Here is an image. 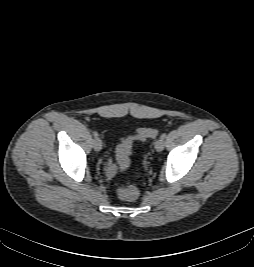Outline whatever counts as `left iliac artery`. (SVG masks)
Instances as JSON below:
<instances>
[{"label":"left iliac artery","mask_w":254,"mask_h":267,"mask_svg":"<svg viewBox=\"0 0 254 267\" xmlns=\"http://www.w3.org/2000/svg\"><path fill=\"white\" fill-rule=\"evenodd\" d=\"M167 137V134L166 133H163L162 135H161V138L162 139H165Z\"/></svg>","instance_id":"1"}]
</instances>
